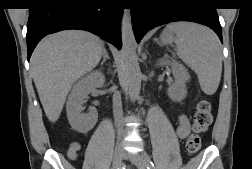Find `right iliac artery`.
Returning a JSON list of instances; mask_svg holds the SVG:
<instances>
[{
  "mask_svg": "<svg viewBox=\"0 0 252 169\" xmlns=\"http://www.w3.org/2000/svg\"><path fill=\"white\" fill-rule=\"evenodd\" d=\"M113 169V168H111ZM117 169H125L124 165L122 164L120 167H118Z\"/></svg>",
  "mask_w": 252,
  "mask_h": 169,
  "instance_id": "right-iliac-artery-1",
  "label": "right iliac artery"
}]
</instances>
